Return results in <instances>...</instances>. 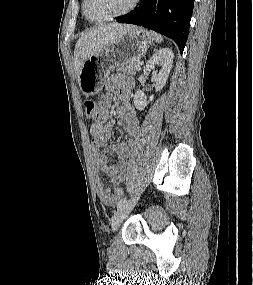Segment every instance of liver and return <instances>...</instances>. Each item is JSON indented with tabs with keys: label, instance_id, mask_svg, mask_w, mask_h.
<instances>
[{
	"label": "liver",
	"instance_id": "6515ba94",
	"mask_svg": "<svg viewBox=\"0 0 253 285\" xmlns=\"http://www.w3.org/2000/svg\"><path fill=\"white\" fill-rule=\"evenodd\" d=\"M132 27V25L112 23L100 25L83 33L76 42L74 50L76 73H79L86 59L103 50Z\"/></svg>",
	"mask_w": 253,
	"mask_h": 285
}]
</instances>
